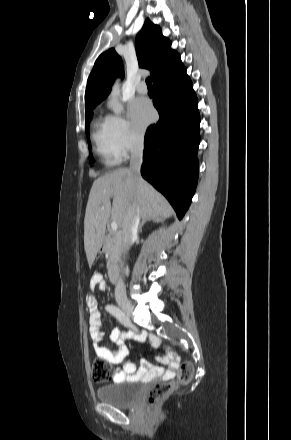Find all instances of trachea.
I'll list each match as a JSON object with an SVG mask.
<instances>
[{
    "mask_svg": "<svg viewBox=\"0 0 291 440\" xmlns=\"http://www.w3.org/2000/svg\"><path fill=\"white\" fill-rule=\"evenodd\" d=\"M146 84H147V87H148V88H153V86H152V79H151L150 77H148V78L146 79Z\"/></svg>",
    "mask_w": 291,
    "mask_h": 440,
    "instance_id": "3493384b",
    "label": "trachea"
}]
</instances>
